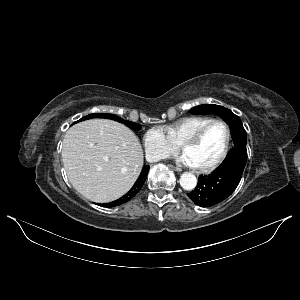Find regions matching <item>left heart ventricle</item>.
<instances>
[{
    "mask_svg": "<svg viewBox=\"0 0 300 300\" xmlns=\"http://www.w3.org/2000/svg\"><path fill=\"white\" fill-rule=\"evenodd\" d=\"M227 139L224 126L214 124L204 133L201 140L184 152L194 166H204L215 161L223 152Z\"/></svg>",
    "mask_w": 300,
    "mask_h": 300,
    "instance_id": "b2bd125f",
    "label": "left heart ventricle"
}]
</instances>
